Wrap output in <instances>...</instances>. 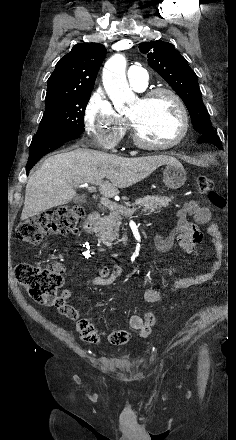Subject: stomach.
<instances>
[{
	"label": "stomach",
	"instance_id": "1",
	"mask_svg": "<svg viewBox=\"0 0 236 440\" xmlns=\"http://www.w3.org/2000/svg\"><path fill=\"white\" fill-rule=\"evenodd\" d=\"M186 171L176 159L165 164L163 170V183L167 188L178 189L186 181Z\"/></svg>",
	"mask_w": 236,
	"mask_h": 440
}]
</instances>
